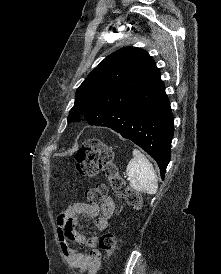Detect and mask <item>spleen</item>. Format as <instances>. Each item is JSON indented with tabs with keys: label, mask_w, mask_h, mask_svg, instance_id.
Returning <instances> with one entry per match:
<instances>
[{
	"label": "spleen",
	"mask_w": 221,
	"mask_h": 274,
	"mask_svg": "<svg viewBox=\"0 0 221 274\" xmlns=\"http://www.w3.org/2000/svg\"><path fill=\"white\" fill-rule=\"evenodd\" d=\"M132 153L133 159L126 168L130 186L136 191L155 194L158 189V180L153 165L139 150L134 149Z\"/></svg>",
	"instance_id": "3e777b00"
}]
</instances>
